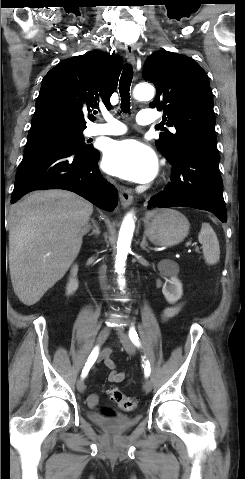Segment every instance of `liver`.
Here are the masks:
<instances>
[{
    "label": "liver",
    "instance_id": "6515ba94",
    "mask_svg": "<svg viewBox=\"0 0 245 479\" xmlns=\"http://www.w3.org/2000/svg\"><path fill=\"white\" fill-rule=\"evenodd\" d=\"M93 205L65 190L35 191L10 212L9 268L14 292L31 306L79 254Z\"/></svg>",
    "mask_w": 245,
    "mask_h": 479
}]
</instances>
